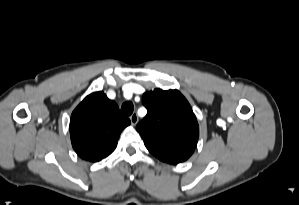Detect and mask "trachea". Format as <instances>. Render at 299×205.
Instances as JSON below:
<instances>
[{"instance_id":"3493384b","label":"trachea","mask_w":299,"mask_h":205,"mask_svg":"<svg viewBox=\"0 0 299 205\" xmlns=\"http://www.w3.org/2000/svg\"><path fill=\"white\" fill-rule=\"evenodd\" d=\"M133 110H134V106H133V103L130 101L123 103V105L121 107V113L123 116L131 115L133 113Z\"/></svg>"}]
</instances>
